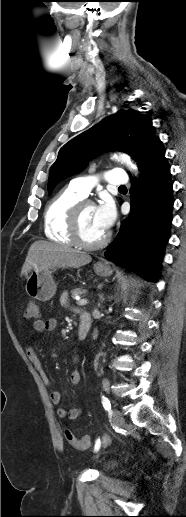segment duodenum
<instances>
[{"instance_id": "1", "label": "duodenum", "mask_w": 186, "mask_h": 517, "mask_svg": "<svg viewBox=\"0 0 186 517\" xmlns=\"http://www.w3.org/2000/svg\"><path fill=\"white\" fill-rule=\"evenodd\" d=\"M91 326H92L91 315L86 311L81 312L80 319H79V325H78V333H77V337L79 340H84L86 338V336L88 335V333L91 329Z\"/></svg>"}]
</instances>
